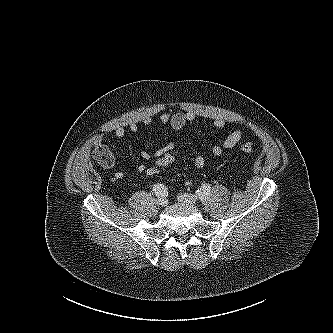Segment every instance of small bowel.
I'll return each mask as SVG.
<instances>
[{
	"mask_svg": "<svg viewBox=\"0 0 333 333\" xmlns=\"http://www.w3.org/2000/svg\"><path fill=\"white\" fill-rule=\"evenodd\" d=\"M159 119L163 126H169L174 132H181L186 124L193 122L196 119V115L193 112H176L173 114L164 112L160 115ZM146 123H150V120H147ZM213 126L215 129L221 130L225 127V121L222 118H217L213 121ZM129 130L133 133H136L138 131V126L136 124H131L129 126ZM114 134L116 138L120 139L125 136L126 128L124 126H118L115 129ZM241 137V130H233L221 141V143L212 147V154L216 157L221 156L225 149L234 148L241 140ZM174 148L175 144L173 142H168L153 153L147 150H143L140 155L144 160H149L151 158H157L167 152L173 151ZM92 156L94 160L104 169H113L115 164V157L109 147L104 144L102 135H98L94 140ZM205 164V157L200 153L196 154L194 158L195 167L197 169H202L204 168ZM145 168L146 165L140 164L137 167V171L139 173H144ZM113 176L115 179L120 180L124 177V173L118 170L114 172Z\"/></svg>",
	"mask_w": 333,
	"mask_h": 333,
	"instance_id": "obj_1",
	"label": "small bowel"
}]
</instances>
